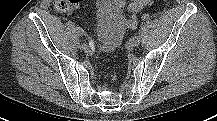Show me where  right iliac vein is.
<instances>
[{
	"instance_id": "right-iliac-vein-1",
	"label": "right iliac vein",
	"mask_w": 217,
	"mask_h": 121,
	"mask_svg": "<svg viewBox=\"0 0 217 121\" xmlns=\"http://www.w3.org/2000/svg\"><path fill=\"white\" fill-rule=\"evenodd\" d=\"M80 48H81L83 51H85V52L89 51V47H88V45H86V44H81V45H80Z\"/></svg>"
}]
</instances>
